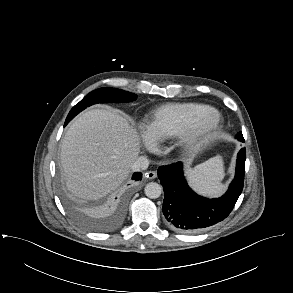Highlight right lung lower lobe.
<instances>
[{
  "label": "right lung lower lobe",
  "mask_w": 293,
  "mask_h": 293,
  "mask_svg": "<svg viewBox=\"0 0 293 293\" xmlns=\"http://www.w3.org/2000/svg\"><path fill=\"white\" fill-rule=\"evenodd\" d=\"M141 178H142V174L140 172L134 173L132 177V179L136 181L140 180ZM104 209L109 212H115L116 214L122 213V210H123L121 202H117V201L112 202L109 206L108 205L104 206Z\"/></svg>",
  "instance_id": "1"
}]
</instances>
